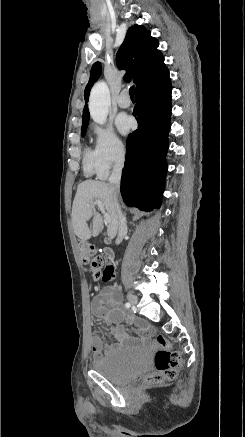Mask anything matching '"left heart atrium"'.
<instances>
[{
	"label": "left heart atrium",
	"instance_id": "left-heart-atrium-1",
	"mask_svg": "<svg viewBox=\"0 0 245 437\" xmlns=\"http://www.w3.org/2000/svg\"><path fill=\"white\" fill-rule=\"evenodd\" d=\"M116 125L121 133L126 134L132 127V120L129 116L121 114L117 117Z\"/></svg>",
	"mask_w": 245,
	"mask_h": 437
}]
</instances>
